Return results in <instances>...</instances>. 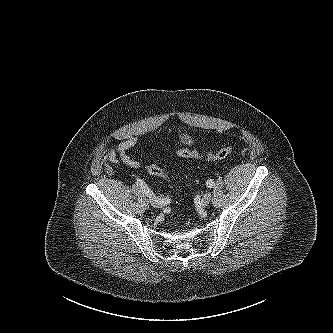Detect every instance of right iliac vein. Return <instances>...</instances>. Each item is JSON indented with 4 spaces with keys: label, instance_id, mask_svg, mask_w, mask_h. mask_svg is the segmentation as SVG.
<instances>
[{
    "label": "right iliac vein",
    "instance_id": "1",
    "mask_svg": "<svg viewBox=\"0 0 333 333\" xmlns=\"http://www.w3.org/2000/svg\"><path fill=\"white\" fill-rule=\"evenodd\" d=\"M150 204L156 208H162L164 205L157 201L156 199H150Z\"/></svg>",
    "mask_w": 333,
    "mask_h": 333
}]
</instances>
